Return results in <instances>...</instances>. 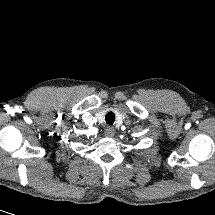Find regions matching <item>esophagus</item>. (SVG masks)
<instances>
[{
  "mask_svg": "<svg viewBox=\"0 0 215 215\" xmlns=\"http://www.w3.org/2000/svg\"><path fill=\"white\" fill-rule=\"evenodd\" d=\"M114 133H115V130H114L113 127L108 126V127L105 128V135L107 137H113Z\"/></svg>",
  "mask_w": 215,
  "mask_h": 215,
  "instance_id": "esophagus-1",
  "label": "esophagus"
}]
</instances>
